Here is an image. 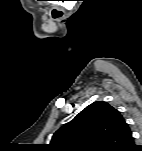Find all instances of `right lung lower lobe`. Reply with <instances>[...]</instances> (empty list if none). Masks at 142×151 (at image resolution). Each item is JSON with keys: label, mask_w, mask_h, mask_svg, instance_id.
Masks as SVG:
<instances>
[{"label": "right lung lower lobe", "mask_w": 142, "mask_h": 151, "mask_svg": "<svg viewBox=\"0 0 142 151\" xmlns=\"http://www.w3.org/2000/svg\"><path fill=\"white\" fill-rule=\"evenodd\" d=\"M134 150H141L142 151V146H133V148H131L130 151H134Z\"/></svg>", "instance_id": "1"}]
</instances>
